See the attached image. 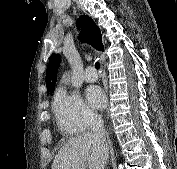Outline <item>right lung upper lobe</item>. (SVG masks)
I'll return each instance as SVG.
<instances>
[{
	"instance_id": "1",
	"label": "right lung upper lobe",
	"mask_w": 177,
	"mask_h": 169,
	"mask_svg": "<svg viewBox=\"0 0 177 169\" xmlns=\"http://www.w3.org/2000/svg\"><path fill=\"white\" fill-rule=\"evenodd\" d=\"M80 19L84 22L83 30L79 35V39L91 44L95 49L103 51L102 35L99 27L89 16H81ZM60 56L52 54L49 60L48 69L46 72V86L48 91H52L57 78V69L60 64Z\"/></svg>"
}]
</instances>
